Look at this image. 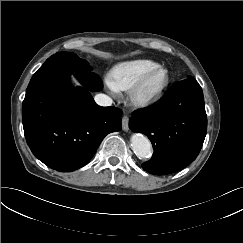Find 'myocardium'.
<instances>
[{
    "mask_svg": "<svg viewBox=\"0 0 243 243\" xmlns=\"http://www.w3.org/2000/svg\"><path fill=\"white\" fill-rule=\"evenodd\" d=\"M157 74H162V79L156 88L147 91L149 81ZM170 82L167 69L156 67L140 78L128 91L129 102L138 108H146L156 103L166 92Z\"/></svg>",
    "mask_w": 243,
    "mask_h": 243,
    "instance_id": "obj_1",
    "label": "myocardium"
}]
</instances>
